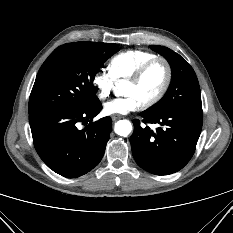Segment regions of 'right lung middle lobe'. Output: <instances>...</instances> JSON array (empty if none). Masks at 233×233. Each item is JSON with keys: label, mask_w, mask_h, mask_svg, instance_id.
<instances>
[{"label": "right lung middle lobe", "mask_w": 233, "mask_h": 233, "mask_svg": "<svg viewBox=\"0 0 233 233\" xmlns=\"http://www.w3.org/2000/svg\"><path fill=\"white\" fill-rule=\"evenodd\" d=\"M117 51V44L95 42H75L56 48L37 74L29 99V114L91 105L97 100L95 75Z\"/></svg>", "instance_id": "obj_1"}]
</instances>
